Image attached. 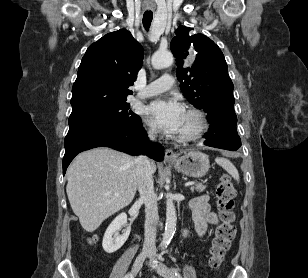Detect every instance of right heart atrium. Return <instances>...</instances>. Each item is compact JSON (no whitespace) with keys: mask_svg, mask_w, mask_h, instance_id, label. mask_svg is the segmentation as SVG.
Here are the masks:
<instances>
[{"mask_svg":"<svg viewBox=\"0 0 308 278\" xmlns=\"http://www.w3.org/2000/svg\"><path fill=\"white\" fill-rule=\"evenodd\" d=\"M158 133H159V131L154 125H152V124L148 125V134L151 138L157 137Z\"/></svg>","mask_w":308,"mask_h":278,"instance_id":"obj_1","label":"right heart atrium"}]
</instances>
